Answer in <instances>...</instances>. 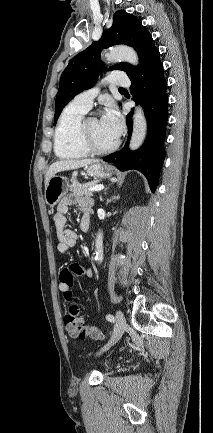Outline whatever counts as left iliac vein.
<instances>
[{
	"mask_svg": "<svg viewBox=\"0 0 213 433\" xmlns=\"http://www.w3.org/2000/svg\"><path fill=\"white\" fill-rule=\"evenodd\" d=\"M125 327H126L125 317H124L123 313L120 310H118L116 312V324H115L113 335H112L111 339L109 340V342L104 346L102 351L108 349L110 346L115 344L121 338V336L123 335V333L125 331Z\"/></svg>",
	"mask_w": 213,
	"mask_h": 433,
	"instance_id": "left-iliac-vein-1",
	"label": "left iliac vein"
}]
</instances>
